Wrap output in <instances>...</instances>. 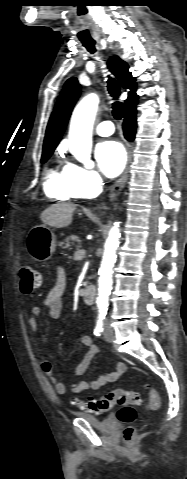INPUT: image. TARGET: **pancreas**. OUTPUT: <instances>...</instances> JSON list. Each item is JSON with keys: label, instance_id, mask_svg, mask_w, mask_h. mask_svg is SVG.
<instances>
[{"label": "pancreas", "instance_id": "cf45deb5", "mask_svg": "<svg viewBox=\"0 0 187 479\" xmlns=\"http://www.w3.org/2000/svg\"><path fill=\"white\" fill-rule=\"evenodd\" d=\"M59 246L68 249L71 246L80 247V239L76 235H71L59 243Z\"/></svg>", "mask_w": 187, "mask_h": 479}]
</instances>
